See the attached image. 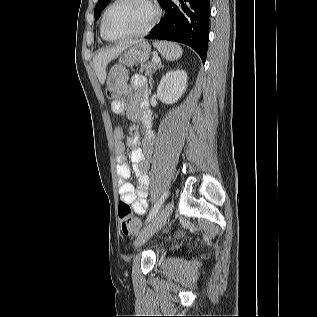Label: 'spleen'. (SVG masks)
Returning <instances> with one entry per match:
<instances>
[{"instance_id":"1","label":"spleen","mask_w":317,"mask_h":317,"mask_svg":"<svg viewBox=\"0 0 317 317\" xmlns=\"http://www.w3.org/2000/svg\"><path fill=\"white\" fill-rule=\"evenodd\" d=\"M154 46L161 53V55L169 61L179 59L183 53L182 48L176 43L171 42H155Z\"/></svg>"}]
</instances>
